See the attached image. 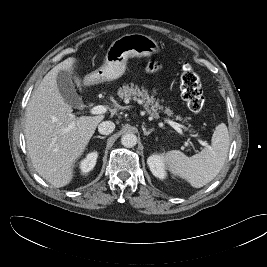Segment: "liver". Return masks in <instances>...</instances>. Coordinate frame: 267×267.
<instances>
[{"instance_id": "6515ba94", "label": "liver", "mask_w": 267, "mask_h": 267, "mask_svg": "<svg viewBox=\"0 0 267 267\" xmlns=\"http://www.w3.org/2000/svg\"><path fill=\"white\" fill-rule=\"evenodd\" d=\"M75 62L69 57L52 68L34 90L26 109L28 154L38 174L57 188L71 182L77 160L104 119L103 115L76 117L61 96L57 75L61 70L73 74ZM75 82L81 89V79L75 77ZM88 83L85 77L83 84Z\"/></svg>"}]
</instances>
